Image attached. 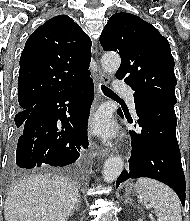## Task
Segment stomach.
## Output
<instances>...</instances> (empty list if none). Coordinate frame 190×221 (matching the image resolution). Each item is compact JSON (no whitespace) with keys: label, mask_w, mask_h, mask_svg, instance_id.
I'll return each mask as SVG.
<instances>
[{"label":"stomach","mask_w":190,"mask_h":221,"mask_svg":"<svg viewBox=\"0 0 190 221\" xmlns=\"http://www.w3.org/2000/svg\"><path fill=\"white\" fill-rule=\"evenodd\" d=\"M127 191H128V192H134V188H133V185H132V184H129V185L127 186Z\"/></svg>","instance_id":"obj_1"}]
</instances>
